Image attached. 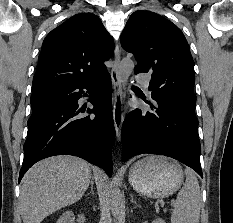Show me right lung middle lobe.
Returning <instances> with one entry per match:
<instances>
[{"label":"right lung middle lobe","mask_w":233,"mask_h":223,"mask_svg":"<svg viewBox=\"0 0 233 223\" xmlns=\"http://www.w3.org/2000/svg\"><path fill=\"white\" fill-rule=\"evenodd\" d=\"M36 103L31 100V107L33 108Z\"/></svg>","instance_id":"right-lung-middle-lobe-1"}]
</instances>
